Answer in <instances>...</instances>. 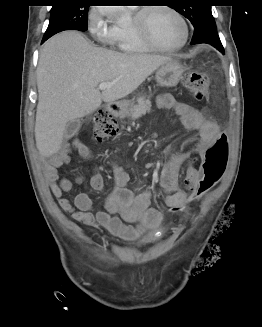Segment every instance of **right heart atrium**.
I'll list each match as a JSON object with an SVG mask.
<instances>
[{"label":"right heart atrium","instance_id":"d8ad5b80","mask_svg":"<svg viewBox=\"0 0 262 327\" xmlns=\"http://www.w3.org/2000/svg\"><path fill=\"white\" fill-rule=\"evenodd\" d=\"M87 27L99 42L104 44L115 42V27L108 21V14L104 8L94 7L89 11Z\"/></svg>","mask_w":262,"mask_h":327}]
</instances>
